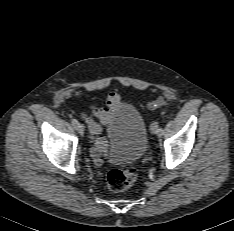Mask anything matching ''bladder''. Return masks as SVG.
Here are the masks:
<instances>
[{
    "label": "bladder",
    "instance_id": "31cf9c89",
    "mask_svg": "<svg viewBox=\"0 0 234 231\" xmlns=\"http://www.w3.org/2000/svg\"><path fill=\"white\" fill-rule=\"evenodd\" d=\"M113 143L111 162L124 164L140 159L147 147V128L140 112L127 102L118 104L107 127Z\"/></svg>",
    "mask_w": 234,
    "mask_h": 231
}]
</instances>
